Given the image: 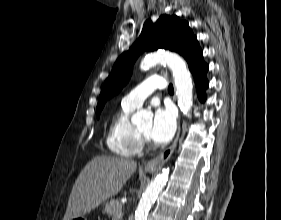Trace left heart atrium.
Masks as SVG:
<instances>
[{
  "label": "left heart atrium",
  "mask_w": 281,
  "mask_h": 220,
  "mask_svg": "<svg viewBox=\"0 0 281 220\" xmlns=\"http://www.w3.org/2000/svg\"><path fill=\"white\" fill-rule=\"evenodd\" d=\"M176 131V116L171 108H158L148 137L157 144L168 143Z\"/></svg>",
  "instance_id": "1"
}]
</instances>
